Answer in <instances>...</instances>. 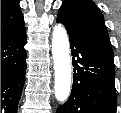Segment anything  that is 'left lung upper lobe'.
<instances>
[{"label":"left lung upper lobe","instance_id":"1","mask_svg":"<svg viewBox=\"0 0 121 113\" xmlns=\"http://www.w3.org/2000/svg\"><path fill=\"white\" fill-rule=\"evenodd\" d=\"M58 19L74 34L99 49L113 60L104 18L91 0H65L58 12Z\"/></svg>","mask_w":121,"mask_h":113}]
</instances>
